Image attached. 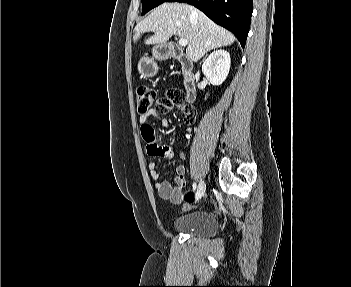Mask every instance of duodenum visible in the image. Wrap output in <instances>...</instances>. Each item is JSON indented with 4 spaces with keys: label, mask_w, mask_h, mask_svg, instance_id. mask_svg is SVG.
I'll list each match as a JSON object with an SVG mask.
<instances>
[{
    "label": "duodenum",
    "mask_w": 351,
    "mask_h": 287,
    "mask_svg": "<svg viewBox=\"0 0 351 287\" xmlns=\"http://www.w3.org/2000/svg\"><path fill=\"white\" fill-rule=\"evenodd\" d=\"M157 56L164 59L178 60L183 70V83L187 92L189 103L195 101V88L192 77L193 63L188 55L173 43H167L157 49Z\"/></svg>",
    "instance_id": "duodenum-1"
}]
</instances>
